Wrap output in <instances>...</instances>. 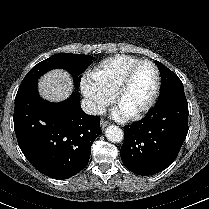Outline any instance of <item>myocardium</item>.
Returning <instances> with one entry per match:
<instances>
[{
    "label": "myocardium",
    "instance_id": "myocardium-1",
    "mask_svg": "<svg viewBox=\"0 0 209 209\" xmlns=\"http://www.w3.org/2000/svg\"><path fill=\"white\" fill-rule=\"evenodd\" d=\"M144 63L150 64L153 67V70L155 73V85H154L153 92L149 100L147 101V103L141 108H139L138 110L134 111L133 113H130L129 116L133 119H138L142 117L143 115H145L148 111L151 110V108L155 105L157 101L159 91H160V85H161V77H160V72H159L157 65L149 59H139L128 68V70L124 74L115 92L116 102L119 104L122 95L124 94V92L126 91V89L131 83L135 70L138 68V66Z\"/></svg>",
    "mask_w": 209,
    "mask_h": 209
}]
</instances>
